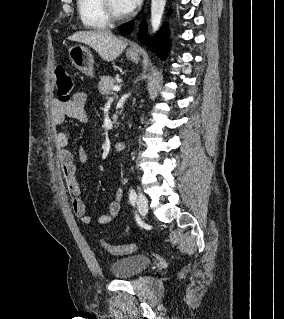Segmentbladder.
<instances>
[{"label": "bladder", "instance_id": "obj_1", "mask_svg": "<svg viewBox=\"0 0 284 319\" xmlns=\"http://www.w3.org/2000/svg\"><path fill=\"white\" fill-rule=\"evenodd\" d=\"M150 264L148 255L134 254L114 260L110 264V272L118 279H129L141 274Z\"/></svg>", "mask_w": 284, "mask_h": 319}]
</instances>
